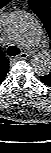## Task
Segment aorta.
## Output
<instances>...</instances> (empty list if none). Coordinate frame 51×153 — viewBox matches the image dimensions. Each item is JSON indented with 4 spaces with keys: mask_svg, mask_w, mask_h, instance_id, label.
<instances>
[{
    "mask_svg": "<svg viewBox=\"0 0 51 153\" xmlns=\"http://www.w3.org/2000/svg\"><path fill=\"white\" fill-rule=\"evenodd\" d=\"M6 32L16 43L25 47L43 48L47 37L41 24L23 10L13 11L6 25ZM31 68L37 75H48L51 71V56L42 50L31 58Z\"/></svg>",
    "mask_w": 51,
    "mask_h": 153,
    "instance_id": "762f6f07",
    "label": "aorta"
}]
</instances>
